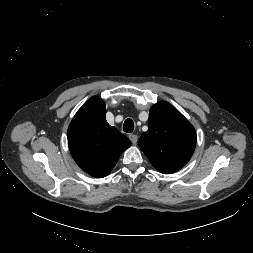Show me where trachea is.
Listing matches in <instances>:
<instances>
[{"label":"trachea","instance_id":"trachea-1","mask_svg":"<svg viewBox=\"0 0 253 253\" xmlns=\"http://www.w3.org/2000/svg\"><path fill=\"white\" fill-rule=\"evenodd\" d=\"M124 132L131 133L134 130V122L132 119H126L123 125Z\"/></svg>","mask_w":253,"mask_h":253}]
</instances>
